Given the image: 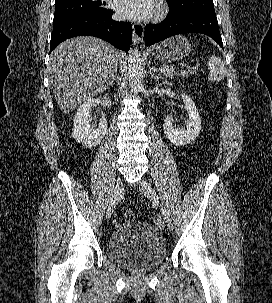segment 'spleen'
Here are the masks:
<instances>
[{
	"label": "spleen",
	"instance_id": "spleen-1",
	"mask_svg": "<svg viewBox=\"0 0 272 303\" xmlns=\"http://www.w3.org/2000/svg\"><path fill=\"white\" fill-rule=\"evenodd\" d=\"M209 69L208 80L211 82H219L224 79L226 73V67L220 57L211 56L207 62Z\"/></svg>",
	"mask_w": 272,
	"mask_h": 303
}]
</instances>
